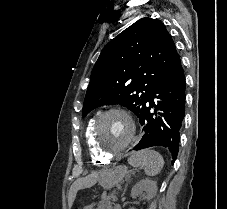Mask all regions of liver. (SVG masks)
I'll use <instances>...</instances> for the list:
<instances>
[{
	"label": "liver",
	"instance_id": "1",
	"mask_svg": "<svg viewBox=\"0 0 227 209\" xmlns=\"http://www.w3.org/2000/svg\"><path fill=\"white\" fill-rule=\"evenodd\" d=\"M74 185H76V183H74ZM74 185H72L70 191H69V197H68V205H69V209H71L73 203H74V199L76 197V193H73V187Z\"/></svg>",
	"mask_w": 227,
	"mask_h": 209
}]
</instances>
